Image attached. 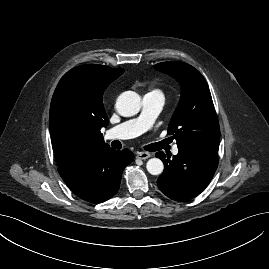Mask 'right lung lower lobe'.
Instances as JSON below:
<instances>
[{"label":"right lung lower lobe","mask_w":269,"mask_h":269,"mask_svg":"<svg viewBox=\"0 0 269 269\" xmlns=\"http://www.w3.org/2000/svg\"><path fill=\"white\" fill-rule=\"evenodd\" d=\"M134 154L107 148L84 155L58 168L67 186L80 198L101 203L113 197L120 186L122 172Z\"/></svg>","instance_id":"right-lung-lower-lobe-1"}]
</instances>
